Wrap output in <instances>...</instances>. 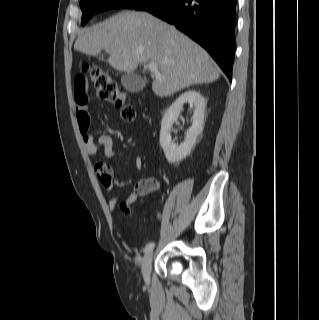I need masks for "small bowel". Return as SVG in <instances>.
<instances>
[{
  "mask_svg": "<svg viewBox=\"0 0 319 320\" xmlns=\"http://www.w3.org/2000/svg\"><path fill=\"white\" fill-rule=\"evenodd\" d=\"M75 117L79 130L82 135V140L85 148V152L88 156H95L98 152V148L103 149L104 155L109 159H121L123 152L116 149L113 144V138L109 134H101L96 140L88 133V128L91 124V114L88 108V94L86 85L76 86L75 88ZM103 164V163H101ZM135 167L141 170L143 167V159L137 156L134 160ZM104 175V180H100V176ZM97 176L101 181L106 191L112 192L117 188H123L131 184V180L123 181L120 179L118 173H114L110 168V171L98 172ZM137 199L136 193L128 194L122 201L127 205L134 203ZM120 202V199L113 197L109 200L110 207H115Z\"/></svg>",
  "mask_w": 319,
  "mask_h": 320,
  "instance_id": "small-bowel-1",
  "label": "small bowel"
}]
</instances>
